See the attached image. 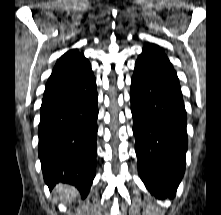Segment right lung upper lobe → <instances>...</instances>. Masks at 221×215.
<instances>
[{"label": "right lung upper lobe", "instance_id": "1", "mask_svg": "<svg viewBox=\"0 0 221 215\" xmlns=\"http://www.w3.org/2000/svg\"><path fill=\"white\" fill-rule=\"evenodd\" d=\"M91 70V65L77 49L67 51L55 64L45 91L64 85Z\"/></svg>", "mask_w": 221, "mask_h": 215}]
</instances>
